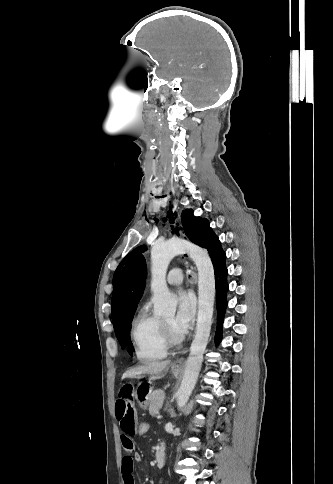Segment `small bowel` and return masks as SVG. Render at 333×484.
<instances>
[{"label": "small bowel", "mask_w": 333, "mask_h": 484, "mask_svg": "<svg viewBox=\"0 0 333 484\" xmlns=\"http://www.w3.org/2000/svg\"><path fill=\"white\" fill-rule=\"evenodd\" d=\"M134 396L133 385L124 383L119 389L118 398L115 402L116 419L122 431L121 443L125 451L121 463L124 484H135L134 463L141 460L140 455L135 452L133 442L138 423Z\"/></svg>", "instance_id": "1"}]
</instances>
